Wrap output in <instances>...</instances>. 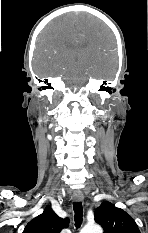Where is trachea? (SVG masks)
<instances>
[{
    "label": "trachea",
    "mask_w": 148,
    "mask_h": 233,
    "mask_svg": "<svg viewBox=\"0 0 148 233\" xmlns=\"http://www.w3.org/2000/svg\"><path fill=\"white\" fill-rule=\"evenodd\" d=\"M73 209L75 212L74 218H75V226L76 228H79L83 221V207L81 202H75L73 203Z\"/></svg>",
    "instance_id": "obj_1"
}]
</instances>
